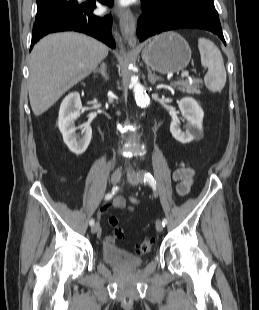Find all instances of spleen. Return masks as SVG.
<instances>
[{
    "label": "spleen",
    "instance_id": "obj_1",
    "mask_svg": "<svg viewBox=\"0 0 259 310\" xmlns=\"http://www.w3.org/2000/svg\"><path fill=\"white\" fill-rule=\"evenodd\" d=\"M198 48L201 64L208 68V72L204 76L205 85L211 92H220L226 83V70L222 54L218 47L206 38L198 39Z\"/></svg>",
    "mask_w": 259,
    "mask_h": 310
}]
</instances>
